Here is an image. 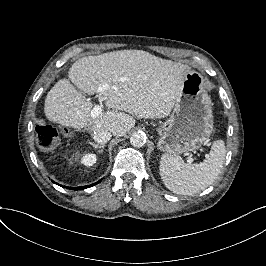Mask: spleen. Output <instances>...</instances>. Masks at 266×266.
<instances>
[{"label": "spleen", "mask_w": 266, "mask_h": 266, "mask_svg": "<svg viewBox=\"0 0 266 266\" xmlns=\"http://www.w3.org/2000/svg\"><path fill=\"white\" fill-rule=\"evenodd\" d=\"M226 156L223 140L214 141L210 153L199 164L185 163L180 156L163 154L160 176L173 193L193 196L210 186L220 175Z\"/></svg>", "instance_id": "spleen-1"}]
</instances>
